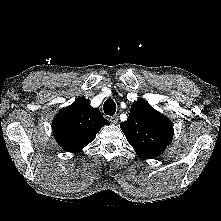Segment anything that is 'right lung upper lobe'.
<instances>
[{
	"label": "right lung upper lobe",
	"mask_w": 221,
	"mask_h": 221,
	"mask_svg": "<svg viewBox=\"0 0 221 221\" xmlns=\"http://www.w3.org/2000/svg\"><path fill=\"white\" fill-rule=\"evenodd\" d=\"M97 108L80 97L70 106L61 109L52 122V129L57 143L67 152H79L92 142L99 130L108 125Z\"/></svg>",
	"instance_id": "cb5924a9"
}]
</instances>
